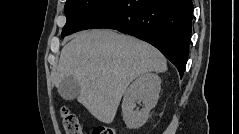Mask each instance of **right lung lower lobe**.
Masks as SVG:
<instances>
[{
    "instance_id": "1",
    "label": "right lung lower lobe",
    "mask_w": 239,
    "mask_h": 134,
    "mask_svg": "<svg viewBox=\"0 0 239 134\" xmlns=\"http://www.w3.org/2000/svg\"><path fill=\"white\" fill-rule=\"evenodd\" d=\"M191 0H116L84 28L115 29L159 49L183 76L192 31Z\"/></svg>"
}]
</instances>
